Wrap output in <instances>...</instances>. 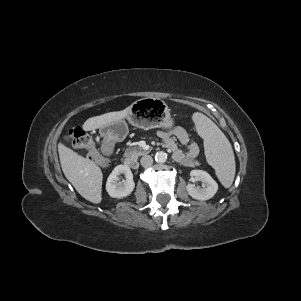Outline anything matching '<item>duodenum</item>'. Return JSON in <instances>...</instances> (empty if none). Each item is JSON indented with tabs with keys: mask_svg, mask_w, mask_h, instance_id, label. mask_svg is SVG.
<instances>
[{
	"mask_svg": "<svg viewBox=\"0 0 301 301\" xmlns=\"http://www.w3.org/2000/svg\"><path fill=\"white\" fill-rule=\"evenodd\" d=\"M113 146H114L113 141L110 140V139H107V140L104 141L102 149H103L104 152L109 153V152L112 151ZM125 165L129 168H132V169L136 168V162L132 159H127L125 161Z\"/></svg>",
	"mask_w": 301,
	"mask_h": 301,
	"instance_id": "410a0bca",
	"label": "duodenum"
}]
</instances>
